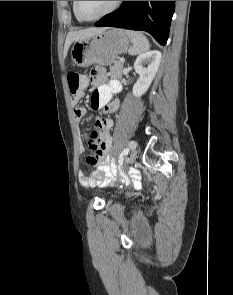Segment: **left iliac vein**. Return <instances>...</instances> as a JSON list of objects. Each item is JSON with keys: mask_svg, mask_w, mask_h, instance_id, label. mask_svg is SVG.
I'll use <instances>...</instances> for the list:
<instances>
[{"mask_svg": "<svg viewBox=\"0 0 233 295\" xmlns=\"http://www.w3.org/2000/svg\"><path fill=\"white\" fill-rule=\"evenodd\" d=\"M136 143V142H135ZM137 145V144H136ZM131 148V147H130ZM136 157H137V151H136V148L131 151L130 155H129V158H128V164L129 165H132L134 163V161L136 160Z\"/></svg>", "mask_w": 233, "mask_h": 295, "instance_id": "4c4485c4", "label": "left iliac vein"}]
</instances>
